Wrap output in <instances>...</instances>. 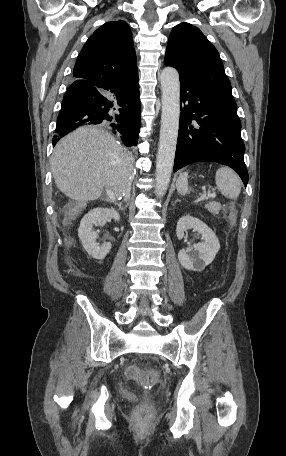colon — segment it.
I'll use <instances>...</instances> for the list:
<instances>
[{
  "mask_svg": "<svg viewBox=\"0 0 286 456\" xmlns=\"http://www.w3.org/2000/svg\"><path fill=\"white\" fill-rule=\"evenodd\" d=\"M126 376L134 381H137L141 386L149 391L158 381L159 374L155 370L145 371L136 365H129L125 370ZM146 402H149V396H145ZM148 412V405H142L137 409V413L144 416Z\"/></svg>",
  "mask_w": 286,
  "mask_h": 456,
  "instance_id": "5ec220e1",
  "label": "colon"
}]
</instances>
